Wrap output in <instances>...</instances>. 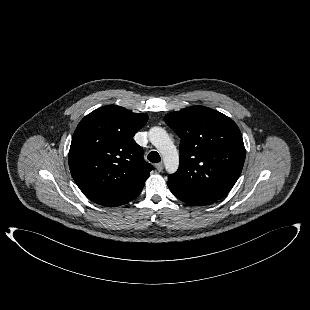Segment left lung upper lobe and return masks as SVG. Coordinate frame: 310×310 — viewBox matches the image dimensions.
<instances>
[{
  "label": "left lung upper lobe",
  "mask_w": 310,
  "mask_h": 310,
  "mask_svg": "<svg viewBox=\"0 0 310 310\" xmlns=\"http://www.w3.org/2000/svg\"><path fill=\"white\" fill-rule=\"evenodd\" d=\"M164 121L181 138L179 168L167 183L197 196L223 198L239 178L245 161L236 123L204 106L170 112Z\"/></svg>",
  "instance_id": "left-lung-upper-lobe-1"
}]
</instances>
